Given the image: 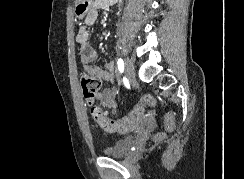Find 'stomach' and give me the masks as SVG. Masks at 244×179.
I'll return each instance as SVG.
<instances>
[{"mask_svg":"<svg viewBox=\"0 0 244 179\" xmlns=\"http://www.w3.org/2000/svg\"><path fill=\"white\" fill-rule=\"evenodd\" d=\"M92 0H78L76 4V16L79 18V20H82L84 18L85 14H87L89 10V6H91Z\"/></svg>","mask_w":244,"mask_h":179,"instance_id":"stomach-1","label":"stomach"}]
</instances>
